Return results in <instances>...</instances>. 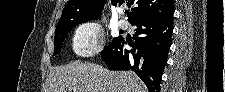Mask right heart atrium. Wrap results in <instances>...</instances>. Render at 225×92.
I'll list each match as a JSON object with an SVG mask.
<instances>
[{
  "label": "right heart atrium",
  "mask_w": 225,
  "mask_h": 92,
  "mask_svg": "<svg viewBox=\"0 0 225 92\" xmlns=\"http://www.w3.org/2000/svg\"><path fill=\"white\" fill-rule=\"evenodd\" d=\"M104 43V32L100 24L89 21L77 26L72 35V49L80 58L98 53Z\"/></svg>",
  "instance_id": "1"
}]
</instances>
